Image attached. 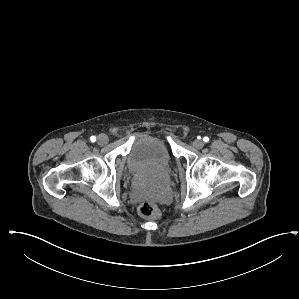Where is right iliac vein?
Wrapping results in <instances>:
<instances>
[{"label":"right iliac vein","mask_w":299,"mask_h":299,"mask_svg":"<svg viewBox=\"0 0 299 299\" xmlns=\"http://www.w3.org/2000/svg\"><path fill=\"white\" fill-rule=\"evenodd\" d=\"M108 136L105 135V134H100L98 137H97V142L99 145H105L108 143Z\"/></svg>","instance_id":"obj_1"}]
</instances>
